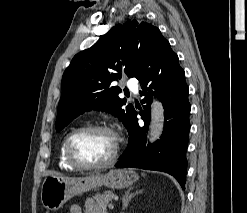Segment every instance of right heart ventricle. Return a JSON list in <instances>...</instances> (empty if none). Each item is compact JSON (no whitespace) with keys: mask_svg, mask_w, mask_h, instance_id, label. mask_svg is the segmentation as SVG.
I'll return each instance as SVG.
<instances>
[{"mask_svg":"<svg viewBox=\"0 0 247 213\" xmlns=\"http://www.w3.org/2000/svg\"><path fill=\"white\" fill-rule=\"evenodd\" d=\"M70 132L67 133L61 143H60V146H59V151H58V165L59 167L62 169V170H65V171H75L77 170L76 167L72 166L67 158H66V154H65V144H66V140L69 136Z\"/></svg>","mask_w":247,"mask_h":213,"instance_id":"e07e8e85","label":"right heart ventricle"}]
</instances>
